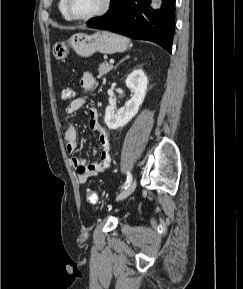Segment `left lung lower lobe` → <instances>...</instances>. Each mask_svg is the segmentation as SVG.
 I'll return each instance as SVG.
<instances>
[{
  "label": "left lung lower lobe",
  "mask_w": 243,
  "mask_h": 289,
  "mask_svg": "<svg viewBox=\"0 0 243 289\" xmlns=\"http://www.w3.org/2000/svg\"><path fill=\"white\" fill-rule=\"evenodd\" d=\"M150 0H111L109 10L89 20V27L109 30L130 38L148 40L172 50L175 0H163L160 10L148 9Z\"/></svg>",
  "instance_id": "0a47b994"
}]
</instances>
